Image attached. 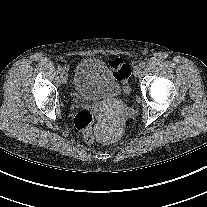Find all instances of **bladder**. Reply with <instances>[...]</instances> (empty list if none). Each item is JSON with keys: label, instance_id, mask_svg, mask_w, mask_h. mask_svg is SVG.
Listing matches in <instances>:
<instances>
[{"label": "bladder", "instance_id": "31cf9c89", "mask_svg": "<svg viewBox=\"0 0 207 207\" xmlns=\"http://www.w3.org/2000/svg\"><path fill=\"white\" fill-rule=\"evenodd\" d=\"M74 90L83 98L104 101L115 98L120 83L112 69L95 57L81 59L74 71Z\"/></svg>", "mask_w": 207, "mask_h": 207}]
</instances>
